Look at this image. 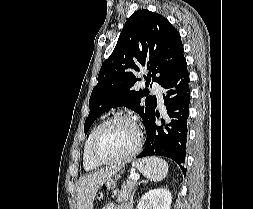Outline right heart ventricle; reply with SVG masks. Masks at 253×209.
Returning a JSON list of instances; mask_svg holds the SVG:
<instances>
[{"label": "right heart ventricle", "instance_id": "e07e8e85", "mask_svg": "<svg viewBox=\"0 0 253 209\" xmlns=\"http://www.w3.org/2000/svg\"><path fill=\"white\" fill-rule=\"evenodd\" d=\"M99 127V124L95 125L92 130L90 131L85 143H84V149H83V166L86 170H93L96 169L99 165L96 164L93 159L91 158L90 149H91V142L93 139V136Z\"/></svg>", "mask_w": 253, "mask_h": 209}]
</instances>
